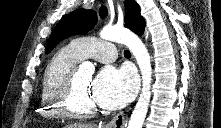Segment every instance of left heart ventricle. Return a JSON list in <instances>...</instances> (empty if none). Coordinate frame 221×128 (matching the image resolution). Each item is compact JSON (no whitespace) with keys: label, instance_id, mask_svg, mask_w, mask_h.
<instances>
[{"label":"left heart ventricle","instance_id":"left-heart-ventricle-1","mask_svg":"<svg viewBox=\"0 0 221 128\" xmlns=\"http://www.w3.org/2000/svg\"><path fill=\"white\" fill-rule=\"evenodd\" d=\"M90 76L83 75L80 73L76 74V91L74 102L80 107H91L95 106V103L89 92Z\"/></svg>","mask_w":221,"mask_h":128}]
</instances>
